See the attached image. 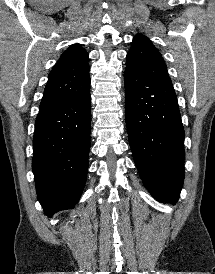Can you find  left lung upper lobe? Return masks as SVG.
Segmentation results:
<instances>
[{"label":"left lung upper lobe","mask_w":215,"mask_h":274,"mask_svg":"<svg viewBox=\"0 0 215 274\" xmlns=\"http://www.w3.org/2000/svg\"><path fill=\"white\" fill-rule=\"evenodd\" d=\"M126 66L145 76L172 83L159 50L142 34L134 37L127 54Z\"/></svg>","instance_id":"5c2ea615"}]
</instances>
